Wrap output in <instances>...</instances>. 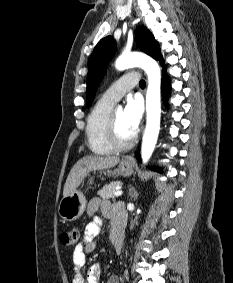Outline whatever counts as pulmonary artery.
<instances>
[{"label": "pulmonary artery", "mask_w": 233, "mask_h": 283, "mask_svg": "<svg viewBox=\"0 0 233 283\" xmlns=\"http://www.w3.org/2000/svg\"><path fill=\"white\" fill-rule=\"evenodd\" d=\"M139 82V76L136 72H130L122 76L112 86H110L102 95L101 99L115 104L118 102L129 90L135 87Z\"/></svg>", "instance_id": "e3ab8cb5"}]
</instances>
